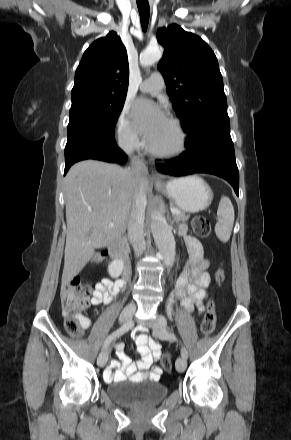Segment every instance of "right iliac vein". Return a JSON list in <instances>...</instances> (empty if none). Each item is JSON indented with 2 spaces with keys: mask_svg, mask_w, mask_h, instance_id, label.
Returning <instances> with one entry per match:
<instances>
[{
  "mask_svg": "<svg viewBox=\"0 0 291 440\" xmlns=\"http://www.w3.org/2000/svg\"><path fill=\"white\" fill-rule=\"evenodd\" d=\"M136 305L134 303L128 304L120 314V323H126L134 314ZM108 360V351L104 349L97 358V364L100 367H104Z\"/></svg>",
  "mask_w": 291,
  "mask_h": 440,
  "instance_id": "obj_1",
  "label": "right iliac vein"
}]
</instances>
